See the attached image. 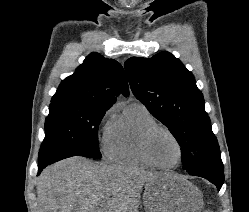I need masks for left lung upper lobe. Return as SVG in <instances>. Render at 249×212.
Returning a JSON list of instances; mask_svg holds the SVG:
<instances>
[{
	"label": "left lung upper lobe",
	"instance_id": "5c2ea615",
	"mask_svg": "<svg viewBox=\"0 0 249 212\" xmlns=\"http://www.w3.org/2000/svg\"><path fill=\"white\" fill-rule=\"evenodd\" d=\"M124 66L133 94L179 143L183 169L192 173L222 165L203 94L180 60L160 52L151 58L132 57Z\"/></svg>",
	"mask_w": 249,
	"mask_h": 212
}]
</instances>
